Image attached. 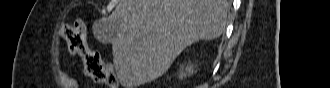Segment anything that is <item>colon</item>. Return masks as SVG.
<instances>
[{
	"mask_svg": "<svg viewBox=\"0 0 330 88\" xmlns=\"http://www.w3.org/2000/svg\"><path fill=\"white\" fill-rule=\"evenodd\" d=\"M59 35L72 53L82 55L84 70L94 82L110 88L118 87V80L111 66L105 65L100 54L86 46L81 23L61 26Z\"/></svg>",
	"mask_w": 330,
	"mask_h": 88,
	"instance_id": "1",
	"label": "colon"
}]
</instances>
